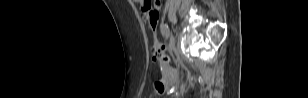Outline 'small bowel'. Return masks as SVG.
Instances as JSON below:
<instances>
[{"label":"small bowel","mask_w":308,"mask_h":98,"mask_svg":"<svg viewBox=\"0 0 308 98\" xmlns=\"http://www.w3.org/2000/svg\"><path fill=\"white\" fill-rule=\"evenodd\" d=\"M138 2L141 4L142 10L144 11L146 1L145 0L144 1L139 0ZM163 75H164L165 79H168L172 76L171 70L166 65H164V67H163Z\"/></svg>","instance_id":"1"}]
</instances>
